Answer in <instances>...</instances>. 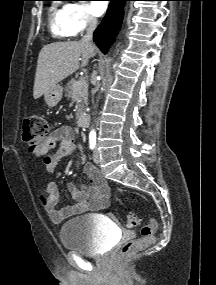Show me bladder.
Wrapping results in <instances>:
<instances>
[{"label": "bladder", "instance_id": "1", "mask_svg": "<svg viewBox=\"0 0 216 285\" xmlns=\"http://www.w3.org/2000/svg\"><path fill=\"white\" fill-rule=\"evenodd\" d=\"M115 238V229L95 215L75 217L60 229V240L65 249L89 256L105 254Z\"/></svg>", "mask_w": 216, "mask_h": 285}]
</instances>
